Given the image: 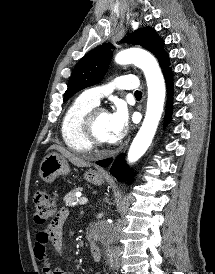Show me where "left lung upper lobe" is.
Instances as JSON below:
<instances>
[{"label":"left lung upper lobe","instance_id":"1","mask_svg":"<svg viewBox=\"0 0 215 274\" xmlns=\"http://www.w3.org/2000/svg\"><path fill=\"white\" fill-rule=\"evenodd\" d=\"M125 40L132 44L141 45L155 54L163 69V73L169 69V57L163 48L164 41L156 34L153 28L149 26L139 28L126 37ZM111 48L113 47L110 43L102 44L77 63L64 94V101L76 92L102 80L112 55Z\"/></svg>","mask_w":215,"mask_h":274}]
</instances>
